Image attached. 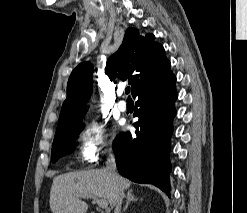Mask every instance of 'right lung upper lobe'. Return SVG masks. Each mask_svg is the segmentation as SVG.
<instances>
[{"instance_id":"cb5924a9","label":"right lung upper lobe","mask_w":247,"mask_h":213,"mask_svg":"<svg viewBox=\"0 0 247 213\" xmlns=\"http://www.w3.org/2000/svg\"><path fill=\"white\" fill-rule=\"evenodd\" d=\"M153 34L141 35L135 28H128L122 45L106 63L109 78L128 79L134 92L170 67L163 46L154 41ZM92 65L79 64L71 73L67 84V98L63 103L57 131L80 126L86 114L85 103L91 95Z\"/></svg>"}]
</instances>
